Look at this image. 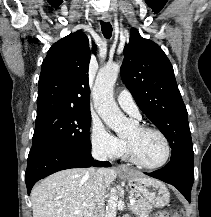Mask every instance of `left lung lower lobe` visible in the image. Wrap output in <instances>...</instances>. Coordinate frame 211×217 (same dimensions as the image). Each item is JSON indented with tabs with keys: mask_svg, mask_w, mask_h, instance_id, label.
<instances>
[{
	"mask_svg": "<svg viewBox=\"0 0 211 217\" xmlns=\"http://www.w3.org/2000/svg\"><path fill=\"white\" fill-rule=\"evenodd\" d=\"M193 162L191 160L175 159L171 160L165 167L145 174L175 186L190 202L194 181Z\"/></svg>",
	"mask_w": 211,
	"mask_h": 217,
	"instance_id": "0a47b994",
	"label": "left lung lower lobe"
}]
</instances>
